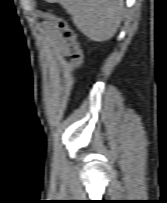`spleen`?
<instances>
[{"mask_svg":"<svg viewBox=\"0 0 167 203\" xmlns=\"http://www.w3.org/2000/svg\"><path fill=\"white\" fill-rule=\"evenodd\" d=\"M58 2L72 16L74 25L88 38H112L123 16V0H46Z\"/></svg>","mask_w":167,"mask_h":203,"instance_id":"1","label":"spleen"}]
</instances>
